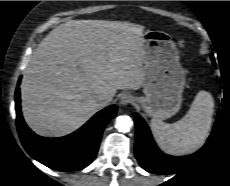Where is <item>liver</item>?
Masks as SVG:
<instances>
[{
  "instance_id": "1",
  "label": "liver",
  "mask_w": 230,
  "mask_h": 186,
  "mask_svg": "<svg viewBox=\"0 0 230 186\" xmlns=\"http://www.w3.org/2000/svg\"><path fill=\"white\" fill-rule=\"evenodd\" d=\"M143 30L127 21L70 20L39 44L21 82L22 112L38 135L61 137L102 107L99 96L143 86Z\"/></svg>"
}]
</instances>
